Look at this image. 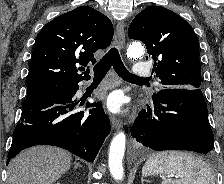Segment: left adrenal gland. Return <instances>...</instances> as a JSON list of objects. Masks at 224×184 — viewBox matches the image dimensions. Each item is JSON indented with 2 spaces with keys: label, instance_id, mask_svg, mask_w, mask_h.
Returning a JSON list of instances; mask_svg holds the SVG:
<instances>
[{
  "label": "left adrenal gland",
  "instance_id": "obj_1",
  "mask_svg": "<svg viewBox=\"0 0 224 184\" xmlns=\"http://www.w3.org/2000/svg\"><path fill=\"white\" fill-rule=\"evenodd\" d=\"M141 184H144V178L141 177Z\"/></svg>",
  "mask_w": 224,
  "mask_h": 184
}]
</instances>
